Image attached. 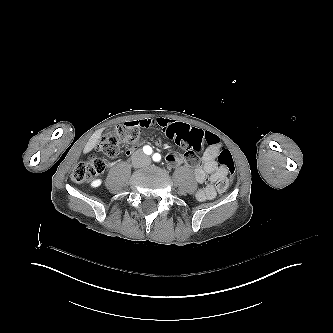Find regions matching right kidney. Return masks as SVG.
I'll use <instances>...</instances> for the list:
<instances>
[{"instance_id":"ca27d5eb","label":"right kidney","mask_w":333,"mask_h":333,"mask_svg":"<svg viewBox=\"0 0 333 333\" xmlns=\"http://www.w3.org/2000/svg\"><path fill=\"white\" fill-rule=\"evenodd\" d=\"M103 184V179L98 177L90 181L89 187L92 189H97Z\"/></svg>"}]
</instances>
